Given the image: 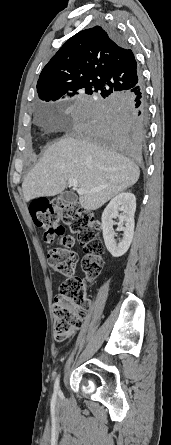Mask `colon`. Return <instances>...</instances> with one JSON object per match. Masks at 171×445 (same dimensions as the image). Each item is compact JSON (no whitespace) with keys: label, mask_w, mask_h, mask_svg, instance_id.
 <instances>
[{"label":"colon","mask_w":171,"mask_h":445,"mask_svg":"<svg viewBox=\"0 0 171 445\" xmlns=\"http://www.w3.org/2000/svg\"><path fill=\"white\" fill-rule=\"evenodd\" d=\"M34 224L44 230L43 239L52 244L61 240V245L50 249L47 262L57 275L66 277L54 300V335L59 340L68 339L80 328L82 312L87 306L86 281L94 279L102 268L104 246L98 237L100 221L89 210L74 203L60 200H35L29 206ZM66 230L69 234L66 235ZM75 238L86 256L82 268L86 279L75 276L77 256L70 250Z\"/></svg>","instance_id":"5ec220e1"}]
</instances>
